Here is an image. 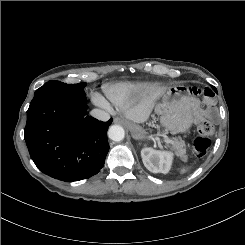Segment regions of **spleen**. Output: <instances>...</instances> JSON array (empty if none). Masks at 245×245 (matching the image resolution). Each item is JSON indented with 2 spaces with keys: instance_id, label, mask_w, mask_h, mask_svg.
I'll list each match as a JSON object with an SVG mask.
<instances>
[{
  "instance_id": "3e777b00",
  "label": "spleen",
  "mask_w": 245,
  "mask_h": 245,
  "mask_svg": "<svg viewBox=\"0 0 245 245\" xmlns=\"http://www.w3.org/2000/svg\"><path fill=\"white\" fill-rule=\"evenodd\" d=\"M187 171V168H182L181 173H185Z\"/></svg>"
}]
</instances>
